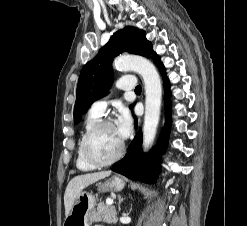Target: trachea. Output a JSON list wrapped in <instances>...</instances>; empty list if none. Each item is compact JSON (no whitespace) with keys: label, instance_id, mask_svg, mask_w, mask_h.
Listing matches in <instances>:
<instances>
[{"label":"trachea","instance_id":"trachea-1","mask_svg":"<svg viewBox=\"0 0 247 226\" xmlns=\"http://www.w3.org/2000/svg\"><path fill=\"white\" fill-rule=\"evenodd\" d=\"M141 91V86L138 85L136 88H135V92H140Z\"/></svg>","mask_w":247,"mask_h":226}]
</instances>
